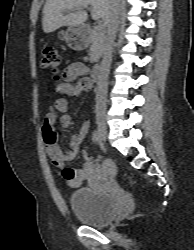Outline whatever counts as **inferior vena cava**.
Instances as JSON below:
<instances>
[{
    "instance_id": "1",
    "label": "inferior vena cava",
    "mask_w": 194,
    "mask_h": 250,
    "mask_svg": "<svg viewBox=\"0 0 194 250\" xmlns=\"http://www.w3.org/2000/svg\"><path fill=\"white\" fill-rule=\"evenodd\" d=\"M119 0H112L109 16L105 22L107 33L104 43L103 59L99 68L96 92V119L104 120L106 113V96L108 75L112 61L113 45L119 27Z\"/></svg>"
}]
</instances>
